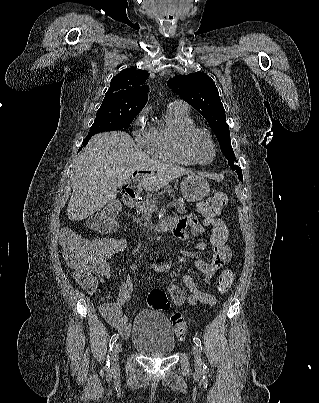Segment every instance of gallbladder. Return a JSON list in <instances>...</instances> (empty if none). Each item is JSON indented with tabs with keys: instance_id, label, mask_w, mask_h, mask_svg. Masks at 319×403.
<instances>
[{
	"instance_id": "1",
	"label": "gallbladder",
	"mask_w": 319,
	"mask_h": 403,
	"mask_svg": "<svg viewBox=\"0 0 319 403\" xmlns=\"http://www.w3.org/2000/svg\"><path fill=\"white\" fill-rule=\"evenodd\" d=\"M107 211H111V212H116V206L115 204H108L106 207Z\"/></svg>"
}]
</instances>
